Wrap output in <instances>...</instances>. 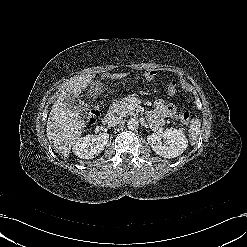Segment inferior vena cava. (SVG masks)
Segmentation results:
<instances>
[{
  "label": "inferior vena cava",
  "instance_id": "inferior-vena-cava-1",
  "mask_svg": "<svg viewBox=\"0 0 247 247\" xmlns=\"http://www.w3.org/2000/svg\"><path fill=\"white\" fill-rule=\"evenodd\" d=\"M122 121L123 120L121 117H116V116L107 117V123H108V126H110V127L117 126V125L121 124Z\"/></svg>",
  "mask_w": 247,
  "mask_h": 247
}]
</instances>
